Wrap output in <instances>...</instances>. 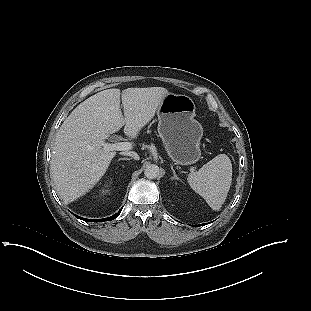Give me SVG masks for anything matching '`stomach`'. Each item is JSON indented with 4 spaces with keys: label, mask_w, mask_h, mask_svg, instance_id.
Segmentation results:
<instances>
[{
    "label": "stomach",
    "mask_w": 311,
    "mask_h": 311,
    "mask_svg": "<svg viewBox=\"0 0 311 311\" xmlns=\"http://www.w3.org/2000/svg\"><path fill=\"white\" fill-rule=\"evenodd\" d=\"M195 103L187 95L169 93L157 109L158 133L168 156L179 165H191L201 156V124L194 119Z\"/></svg>",
    "instance_id": "0dacf381"
}]
</instances>
